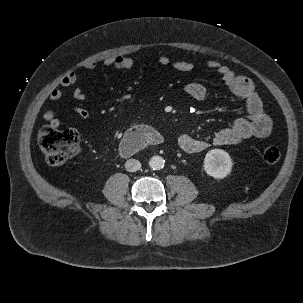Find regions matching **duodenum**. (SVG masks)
Masks as SVG:
<instances>
[{"mask_svg":"<svg viewBox=\"0 0 303 303\" xmlns=\"http://www.w3.org/2000/svg\"><path fill=\"white\" fill-rule=\"evenodd\" d=\"M162 142L163 138L153 128L139 126L125 135L119 150L123 156H131L147 145H159Z\"/></svg>","mask_w":303,"mask_h":303,"instance_id":"410a0bca","label":"duodenum"}]
</instances>
